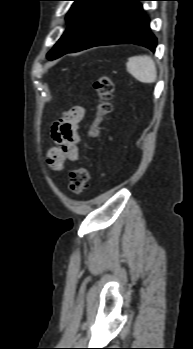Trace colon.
<instances>
[{
    "instance_id": "colon-1",
    "label": "colon",
    "mask_w": 193,
    "mask_h": 349,
    "mask_svg": "<svg viewBox=\"0 0 193 349\" xmlns=\"http://www.w3.org/2000/svg\"><path fill=\"white\" fill-rule=\"evenodd\" d=\"M94 89L98 100L96 104L95 118L89 126L88 138L94 139L99 134L100 124L104 118L111 112V99L113 96L114 85L110 77L100 76L94 82ZM89 180V172L86 167L79 166L70 173L69 189L73 194H80L84 191Z\"/></svg>"
}]
</instances>
